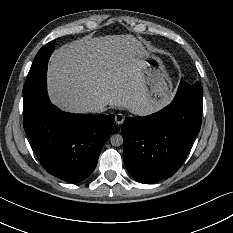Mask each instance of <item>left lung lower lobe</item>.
<instances>
[{
	"label": "left lung lower lobe",
	"mask_w": 233,
	"mask_h": 233,
	"mask_svg": "<svg viewBox=\"0 0 233 233\" xmlns=\"http://www.w3.org/2000/svg\"><path fill=\"white\" fill-rule=\"evenodd\" d=\"M201 86L181 81L173 102L146 117H127L122 126L124 162L132 177L155 183L173 176L201 127Z\"/></svg>",
	"instance_id": "left-lung-lower-lobe-1"
}]
</instances>
